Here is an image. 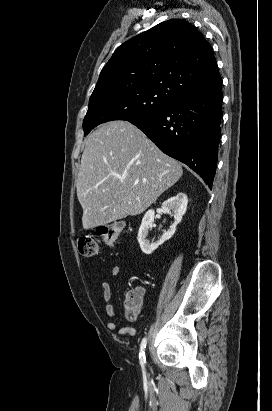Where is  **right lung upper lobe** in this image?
Instances as JSON below:
<instances>
[{"mask_svg": "<svg viewBox=\"0 0 272 411\" xmlns=\"http://www.w3.org/2000/svg\"><path fill=\"white\" fill-rule=\"evenodd\" d=\"M221 81L213 49L203 35L187 21L171 19L124 42L102 69L93 93L151 87L178 99Z\"/></svg>", "mask_w": 272, "mask_h": 411, "instance_id": "right-lung-upper-lobe-1", "label": "right lung upper lobe"}]
</instances>
